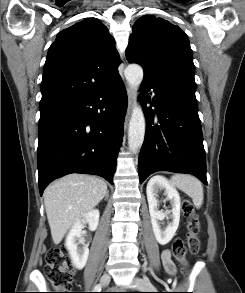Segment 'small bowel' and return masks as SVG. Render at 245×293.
Masks as SVG:
<instances>
[{"instance_id": "small-bowel-1", "label": "small bowel", "mask_w": 245, "mask_h": 293, "mask_svg": "<svg viewBox=\"0 0 245 293\" xmlns=\"http://www.w3.org/2000/svg\"><path fill=\"white\" fill-rule=\"evenodd\" d=\"M162 261H163L165 270L170 275H175V273H176V267H175V264H174V262L172 260L171 253L168 250H166V251L163 252V254H162Z\"/></svg>"}]
</instances>
